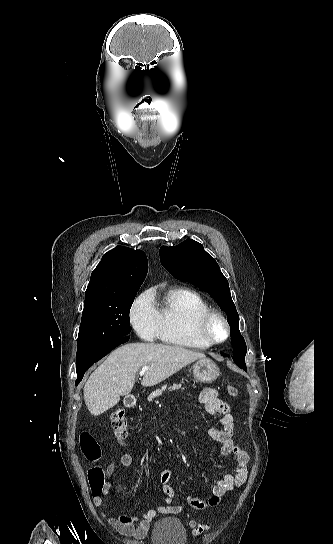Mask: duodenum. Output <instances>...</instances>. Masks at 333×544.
<instances>
[{"label":"duodenum","instance_id":"obj_1","mask_svg":"<svg viewBox=\"0 0 333 544\" xmlns=\"http://www.w3.org/2000/svg\"><path fill=\"white\" fill-rule=\"evenodd\" d=\"M137 399L133 395L126 396L124 403L127 407H134L136 405Z\"/></svg>","mask_w":333,"mask_h":544}]
</instances>
